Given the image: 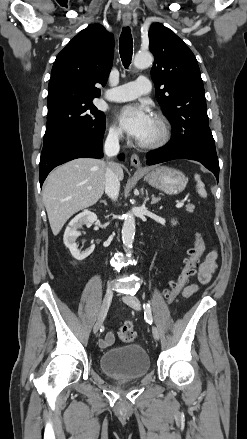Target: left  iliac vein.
<instances>
[{"instance_id":"4c4485c4","label":"left iliac vein","mask_w":247,"mask_h":439,"mask_svg":"<svg viewBox=\"0 0 247 439\" xmlns=\"http://www.w3.org/2000/svg\"><path fill=\"white\" fill-rule=\"evenodd\" d=\"M122 300L124 303H126L128 306L132 307L133 309L139 311L141 309V303L139 299L136 296H130L126 295L122 297ZM152 333L156 340H159L160 334L156 327H152Z\"/></svg>"}]
</instances>
